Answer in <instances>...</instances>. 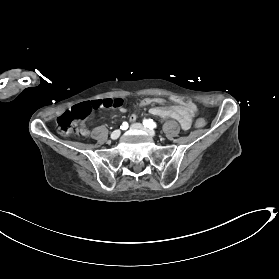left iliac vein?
Instances as JSON below:
<instances>
[{
    "instance_id": "1",
    "label": "left iliac vein",
    "mask_w": 279,
    "mask_h": 279,
    "mask_svg": "<svg viewBox=\"0 0 279 279\" xmlns=\"http://www.w3.org/2000/svg\"><path fill=\"white\" fill-rule=\"evenodd\" d=\"M131 128L143 130L152 137L156 136V132L153 129L147 128V127L143 126L141 123H134L131 125Z\"/></svg>"
}]
</instances>
